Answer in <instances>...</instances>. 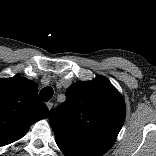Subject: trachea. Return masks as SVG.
I'll return each mask as SVG.
<instances>
[{
  "instance_id": "trachea-1",
  "label": "trachea",
  "mask_w": 156,
  "mask_h": 156,
  "mask_svg": "<svg viewBox=\"0 0 156 156\" xmlns=\"http://www.w3.org/2000/svg\"><path fill=\"white\" fill-rule=\"evenodd\" d=\"M53 89L51 87H45L39 92V98L43 101H49L53 96Z\"/></svg>"
}]
</instances>
